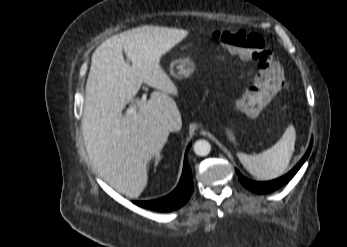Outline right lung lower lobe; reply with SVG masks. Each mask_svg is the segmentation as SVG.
I'll return each instance as SVG.
<instances>
[{
    "label": "right lung lower lobe",
    "mask_w": 347,
    "mask_h": 247,
    "mask_svg": "<svg viewBox=\"0 0 347 247\" xmlns=\"http://www.w3.org/2000/svg\"><path fill=\"white\" fill-rule=\"evenodd\" d=\"M190 145L187 147L186 153ZM193 187L191 168L185 156L183 173L180 182L169 195L151 201H135L134 203L138 206L151 210L164 212L173 211L180 208L188 201L193 192Z\"/></svg>",
    "instance_id": "right-lung-lower-lobe-1"
}]
</instances>
